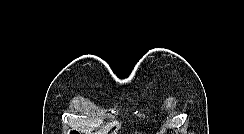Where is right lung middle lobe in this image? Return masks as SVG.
<instances>
[{"label": "right lung middle lobe", "instance_id": "obj_1", "mask_svg": "<svg viewBox=\"0 0 244 134\" xmlns=\"http://www.w3.org/2000/svg\"><path fill=\"white\" fill-rule=\"evenodd\" d=\"M72 134H78V132H76V131H73V132H72Z\"/></svg>", "mask_w": 244, "mask_h": 134}]
</instances>
